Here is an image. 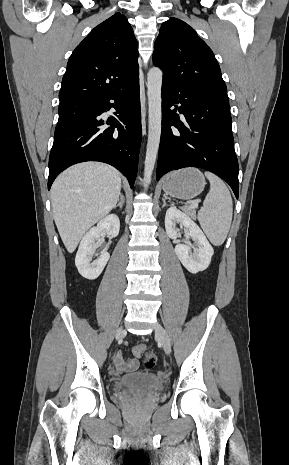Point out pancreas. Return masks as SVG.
I'll return each mask as SVG.
<instances>
[{
    "instance_id": "1",
    "label": "pancreas",
    "mask_w": 289,
    "mask_h": 465,
    "mask_svg": "<svg viewBox=\"0 0 289 465\" xmlns=\"http://www.w3.org/2000/svg\"><path fill=\"white\" fill-rule=\"evenodd\" d=\"M187 214H189L191 217L195 218V211L193 209H186Z\"/></svg>"
}]
</instances>
